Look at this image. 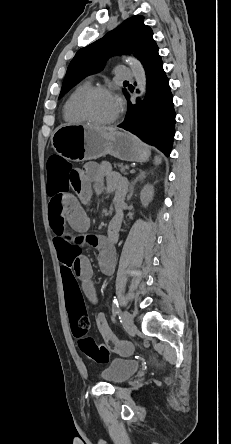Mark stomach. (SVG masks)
I'll return each instance as SVG.
<instances>
[{
    "label": "stomach",
    "instance_id": "1",
    "mask_svg": "<svg viewBox=\"0 0 231 444\" xmlns=\"http://www.w3.org/2000/svg\"><path fill=\"white\" fill-rule=\"evenodd\" d=\"M51 144L60 156L75 161L97 159L109 154L121 160L144 162L150 156L149 149L126 132L104 133L79 124L57 127Z\"/></svg>",
    "mask_w": 231,
    "mask_h": 444
}]
</instances>
